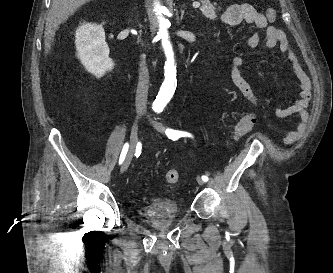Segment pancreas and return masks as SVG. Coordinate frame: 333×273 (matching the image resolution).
<instances>
[{
  "instance_id": "cf45deb5",
  "label": "pancreas",
  "mask_w": 333,
  "mask_h": 273,
  "mask_svg": "<svg viewBox=\"0 0 333 273\" xmlns=\"http://www.w3.org/2000/svg\"><path fill=\"white\" fill-rule=\"evenodd\" d=\"M202 1V7L200 8V11L202 12V14L210 19V20H214L217 15H216V11L217 8L215 7V5L211 4L208 0H201Z\"/></svg>"
}]
</instances>
